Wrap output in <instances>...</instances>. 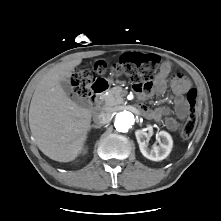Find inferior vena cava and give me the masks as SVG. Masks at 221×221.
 <instances>
[{
    "label": "inferior vena cava",
    "mask_w": 221,
    "mask_h": 221,
    "mask_svg": "<svg viewBox=\"0 0 221 221\" xmlns=\"http://www.w3.org/2000/svg\"><path fill=\"white\" fill-rule=\"evenodd\" d=\"M111 120V112L107 109H102L93 114V121L97 126H102Z\"/></svg>",
    "instance_id": "obj_1"
}]
</instances>
